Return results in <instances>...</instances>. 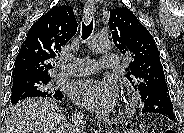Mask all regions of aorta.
<instances>
[{"label":"aorta","instance_id":"762f6f07","mask_svg":"<svg viewBox=\"0 0 184 133\" xmlns=\"http://www.w3.org/2000/svg\"><path fill=\"white\" fill-rule=\"evenodd\" d=\"M87 46L93 52H105L111 48V42L107 38L94 35L89 38Z\"/></svg>","mask_w":184,"mask_h":133}]
</instances>
